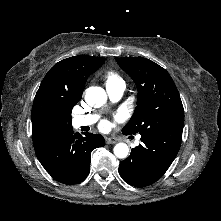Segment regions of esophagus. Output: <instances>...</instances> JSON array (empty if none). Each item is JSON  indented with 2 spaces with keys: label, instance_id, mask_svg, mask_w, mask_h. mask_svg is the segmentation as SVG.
I'll return each instance as SVG.
<instances>
[{
  "label": "esophagus",
  "instance_id": "obj_1",
  "mask_svg": "<svg viewBox=\"0 0 221 221\" xmlns=\"http://www.w3.org/2000/svg\"><path fill=\"white\" fill-rule=\"evenodd\" d=\"M105 141H106L107 144H114L118 141V139L114 138V137H106Z\"/></svg>",
  "mask_w": 221,
  "mask_h": 221
}]
</instances>
